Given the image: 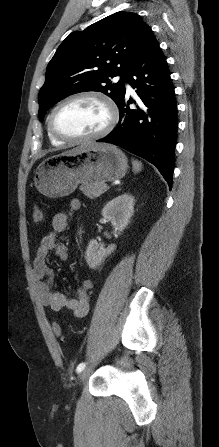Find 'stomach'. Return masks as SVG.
I'll list each match as a JSON object with an SVG mask.
<instances>
[{
  "label": "stomach",
  "instance_id": "0dacf381",
  "mask_svg": "<svg viewBox=\"0 0 219 447\" xmlns=\"http://www.w3.org/2000/svg\"><path fill=\"white\" fill-rule=\"evenodd\" d=\"M128 168L125 154L107 144L93 143L72 154L45 159L36 169L37 190L50 198L71 194L78 184H104L122 178Z\"/></svg>",
  "mask_w": 219,
  "mask_h": 447
}]
</instances>
